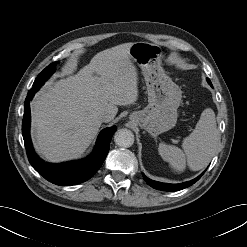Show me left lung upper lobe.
Masks as SVG:
<instances>
[{"label":"left lung upper lobe","instance_id":"1","mask_svg":"<svg viewBox=\"0 0 247 247\" xmlns=\"http://www.w3.org/2000/svg\"><path fill=\"white\" fill-rule=\"evenodd\" d=\"M207 81H208V82H211L208 78H207Z\"/></svg>","mask_w":247,"mask_h":247}]
</instances>
